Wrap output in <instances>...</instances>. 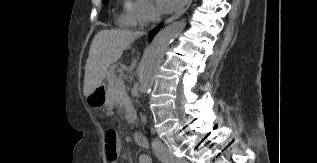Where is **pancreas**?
<instances>
[{
  "label": "pancreas",
  "instance_id": "obj_1",
  "mask_svg": "<svg viewBox=\"0 0 317 163\" xmlns=\"http://www.w3.org/2000/svg\"><path fill=\"white\" fill-rule=\"evenodd\" d=\"M107 80V105L109 107L119 106L125 114L126 121L133 123L136 119V112L133 108L131 99L126 92L125 85L122 87L117 84V80H123L113 73V69L109 70Z\"/></svg>",
  "mask_w": 317,
  "mask_h": 163
}]
</instances>
